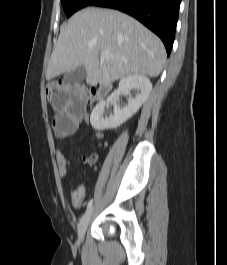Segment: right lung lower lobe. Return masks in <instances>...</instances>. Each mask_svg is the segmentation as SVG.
<instances>
[{
  "instance_id": "right-lung-lower-lobe-1",
  "label": "right lung lower lobe",
  "mask_w": 227,
  "mask_h": 265,
  "mask_svg": "<svg viewBox=\"0 0 227 265\" xmlns=\"http://www.w3.org/2000/svg\"><path fill=\"white\" fill-rule=\"evenodd\" d=\"M181 0H93L90 6L123 11L142 22L163 41L170 55Z\"/></svg>"
}]
</instances>
